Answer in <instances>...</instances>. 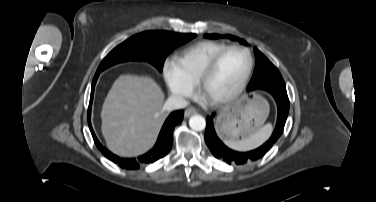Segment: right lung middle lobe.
Instances as JSON below:
<instances>
[{
    "label": "right lung middle lobe",
    "mask_w": 376,
    "mask_h": 202,
    "mask_svg": "<svg viewBox=\"0 0 376 202\" xmlns=\"http://www.w3.org/2000/svg\"><path fill=\"white\" fill-rule=\"evenodd\" d=\"M194 37L196 34L169 31L139 33L114 48L99 65L95 77L108 67L128 60L148 61L161 72L168 54Z\"/></svg>",
    "instance_id": "obj_1"
}]
</instances>
